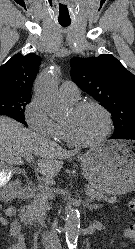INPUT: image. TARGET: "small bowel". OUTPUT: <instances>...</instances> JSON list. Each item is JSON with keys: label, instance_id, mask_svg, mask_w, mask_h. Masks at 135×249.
I'll list each match as a JSON object with an SVG mask.
<instances>
[{"label": "small bowel", "instance_id": "c3829d8e", "mask_svg": "<svg viewBox=\"0 0 135 249\" xmlns=\"http://www.w3.org/2000/svg\"><path fill=\"white\" fill-rule=\"evenodd\" d=\"M0 210H2L1 203ZM16 213L17 209L13 205L3 209L2 213L0 214V226L6 227L9 234L16 240V242L8 247V249H27L26 238L23 233L20 220L15 217Z\"/></svg>", "mask_w": 135, "mask_h": 249}]
</instances>
